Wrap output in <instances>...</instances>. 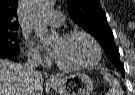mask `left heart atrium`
<instances>
[{
  "label": "left heart atrium",
  "mask_w": 135,
  "mask_h": 95,
  "mask_svg": "<svg viewBox=\"0 0 135 95\" xmlns=\"http://www.w3.org/2000/svg\"><path fill=\"white\" fill-rule=\"evenodd\" d=\"M46 49L52 58L57 59L60 53V43L55 42L53 45L47 46Z\"/></svg>",
  "instance_id": "obj_1"
}]
</instances>
